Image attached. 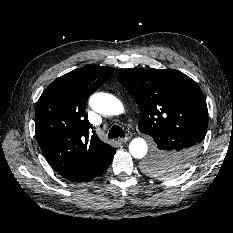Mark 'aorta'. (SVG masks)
<instances>
[{
  "instance_id": "obj_1",
  "label": "aorta",
  "mask_w": 233,
  "mask_h": 233,
  "mask_svg": "<svg viewBox=\"0 0 233 233\" xmlns=\"http://www.w3.org/2000/svg\"><path fill=\"white\" fill-rule=\"evenodd\" d=\"M91 108L104 115H119L123 113L124 107L122 102L115 96L108 93H95L89 99ZM130 154L137 159L145 157L148 146L143 138H134L129 145Z\"/></svg>"
}]
</instances>
